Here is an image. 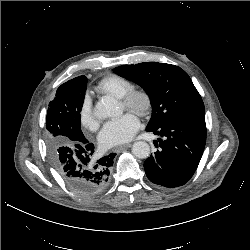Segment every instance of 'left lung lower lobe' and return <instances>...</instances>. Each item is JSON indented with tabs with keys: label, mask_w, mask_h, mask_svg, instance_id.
<instances>
[{
	"label": "left lung lower lobe",
	"mask_w": 250,
	"mask_h": 250,
	"mask_svg": "<svg viewBox=\"0 0 250 250\" xmlns=\"http://www.w3.org/2000/svg\"><path fill=\"white\" fill-rule=\"evenodd\" d=\"M159 135V149L144 162L148 179L162 187L184 185L195 173L206 143L205 117L174 121L158 128H147Z\"/></svg>",
	"instance_id": "left-lung-lower-lobe-1"
}]
</instances>
